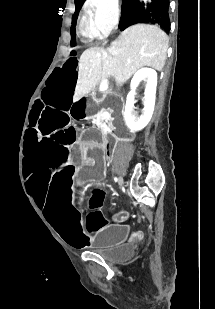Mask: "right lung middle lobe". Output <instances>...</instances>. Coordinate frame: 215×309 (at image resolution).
<instances>
[{"mask_svg":"<svg viewBox=\"0 0 215 309\" xmlns=\"http://www.w3.org/2000/svg\"><path fill=\"white\" fill-rule=\"evenodd\" d=\"M85 0H78L75 5H76V11H75V14H74V25L76 23V20H77V16H78V13H79V10L81 9L83 3H84ZM132 0H126L122 3V10L124 8H126L130 3H131ZM74 25L71 27V45H75V27Z\"/></svg>","mask_w":215,"mask_h":309,"instance_id":"dd1d6c3e","label":"right lung middle lobe"}]
</instances>
